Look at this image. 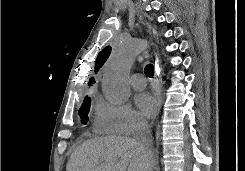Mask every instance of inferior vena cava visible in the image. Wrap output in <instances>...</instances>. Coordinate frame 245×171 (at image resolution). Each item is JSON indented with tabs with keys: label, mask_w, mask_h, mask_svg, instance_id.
I'll list each match as a JSON object with an SVG mask.
<instances>
[{
	"label": "inferior vena cava",
	"mask_w": 245,
	"mask_h": 171,
	"mask_svg": "<svg viewBox=\"0 0 245 171\" xmlns=\"http://www.w3.org/2000/svg\"><path fill=\"white\" fill-rule=\"evenodd\" d=\"M135 141L137 142L144 156L152 160L153 159V153L151 149L152 135L149 126L145 121H141L138 123V128L135 135Z\"/></svg>",
	"instance_id": "1"
}]
</instances>
